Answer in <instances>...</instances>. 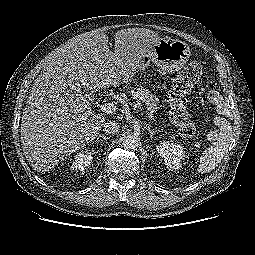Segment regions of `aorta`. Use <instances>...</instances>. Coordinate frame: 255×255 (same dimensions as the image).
<instances>
[{
  "label": "aorta",
  "instance_id": "aorta-1",
  "mask_svg": "<svg viewBox=\"0 0 255 255\" xmlns=\"http://www.w3.org/2000/svg\"><path fill=\"white\" fill-rule=\"evenodd\" d=\"M140 145V140L135 135H126L123 139V147L126 150L134 151L137 150Z\"/></svg>",
  "mask_w": 255,
  "mask_h": 255
}]
</instances>
